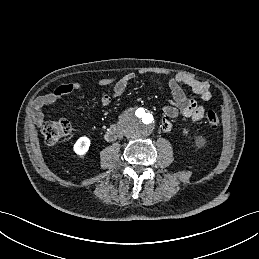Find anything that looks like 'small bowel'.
Segmentation results:
<instances>
[{
    "instance_id": "small-bowel-1",
    "label": "small bowel",
    "mask_w": 259,
    "mask_h": 259,
    "mask_svg": "<svg viewBox=\"0 0 259 259\" xmlns=\"http://www.w3.org/2000/svg\"><path fill=\"white\" fill-rule=\"evenodd\" d=\"M145 71H140L143 74ZM168 85L171 90V100L169 105L163 108L165 118L161 121V129L164 132L172 130L171 119L177 118L179 115L193 122L203 118L205 109L196 100L189 98L183 90V86L189 87L195 94H198L203 101H209L212 97L210 85L208 82L199 81L188 73H172L165 72ZM135 78V73L129 72L119 78H104L98 82L99 86L112 85L111 94H103L101 103L107 106L112 99L124 93L129 83ZM81 82L67 83L58 86L52 92L38 97L31 109V114L36 125L41 126L44 121L43 108L56 104L61 97L70 94L74 90L80 89Z\"/></svg>"
}]
</instances>
